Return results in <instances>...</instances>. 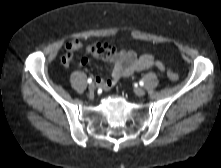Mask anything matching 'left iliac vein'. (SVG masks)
<instances>
[{
  "label": "left iliac vein",
  "instance_id": "left-iliac-vein-1",
  "mask_svg": "<svg viewBox=\"0 0 221 168\" xmlns=\"http://www.w3.org/2000/svg\"><path fill=\"white\" fill-rule=\"evenodd\" d=\"M134 92H135V94H136L137 96H143V95H145V90H144L143 88H136V89L134 90Z\"/></svg>",
  "mask_w": 221,
  "mask_h": 168
}]
</instances>
